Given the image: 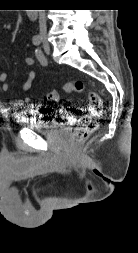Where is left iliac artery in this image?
I'll return each mask as SVG.
<instances>
[{
  "label": "left iliac artery",
  "mask_w": 138,
  "mask_h": 253,
  "mask_svg": "<svg viewBox=\"0 0 138 253\" xmlns=\"http://www.w3.org/2000/svg\"><path fill=\"white\" fill-rule=\"evenodd\" d=\"M37 59L42 63L45 64V57L40 49L35 51Z\"/></svg>",
  "instance_id": "obj_1"
}]
</instances>
